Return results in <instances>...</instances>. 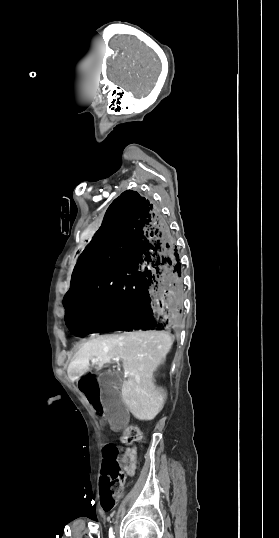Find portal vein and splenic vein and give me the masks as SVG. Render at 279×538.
I'll return each mask as SVG.
<instances>
[{
	"label": "portal vein and splenic vein",
	"instance_id": "obj_1",
	"mask_svg": "<svg viewBox=\"0 0 279 538\" xmlns=\"http://www.w3.org/2000/svg\"><path fill=\"white\" fill-rule=\"evenodd\" d=\"M113 360H116V362H120V358H113Z\"/></svg>",
	"mask_w": 279,
	"mask_h": 538
}]
</instances>
